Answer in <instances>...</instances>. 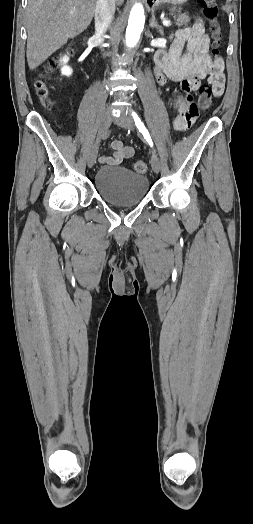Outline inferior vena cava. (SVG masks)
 <instances>
[{"label": "inferior vena cava", "mask_w": 253, "mask_h": 524, "mask_svg": "<svg viewBox=\"0 0 253 524\" xmlns=\"http://www.w3.org/2000/svg\"><path fill=\"white\" fill-rule=\"evenodd\" d=\"M115 13V0H97L95 8V38L100 42L102 35L112 23Z\"/></svg>", "instance_id": "inferior-vena-cava-1"}]
</instances>
